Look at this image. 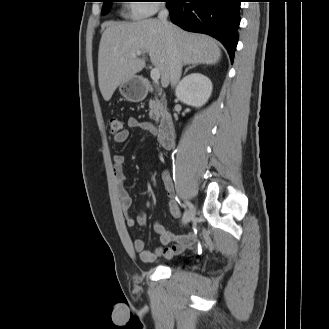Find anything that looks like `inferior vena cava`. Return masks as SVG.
<instances>
[{
	"mask_svg": "<svg viewBox=\"0 0 329 329\" xmlns=\"http://www.w3.org/2000/svg\"><path fill=\"white\" fill-rule=\"evenodd\" d=\"M168 14H169L168 9L163 5L158 14V19L165 26V29L167 30V33L170 37V40L173 41L174 32H173L172 26L167 21ZM181 73H182L181 57L175 51L173 53V57H172L171 64H170V82H171L172 87L176 86L177 83L179 82Z\"/></svg>",
	"mask_w": 329,
	"mask_h": 329,
	"instance_id": "obj_1",
	"label": "inferior vena cava"
}]
</instances>
